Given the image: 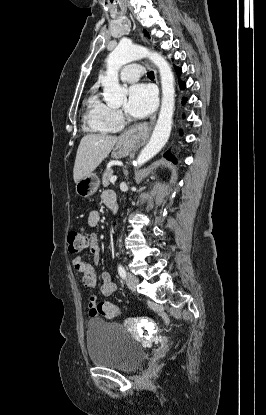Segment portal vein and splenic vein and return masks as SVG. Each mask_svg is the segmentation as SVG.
Instances as JSON below:
<instances>
[{
  "mask_svg": "<svg viewBox=\"0 0 266 415\" xmlns=\"http://www.w3.org/2000/svg\"><path fill=\"white\" fill-rule=\"evenodd\" d=\"M116 180H117V176L115 175L110 178L111 183H114Z\"/></svg>",
  "mask_w": 266,
  "mask_h": 415,
  "instance_id": "obj_1",
  "label": "portal vein and splenic vein"
}]
</instances>
